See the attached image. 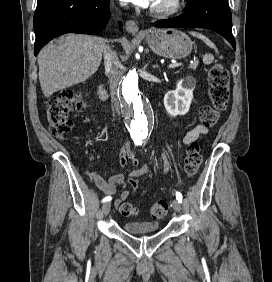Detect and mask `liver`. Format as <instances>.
<instances>
[{"label": "liver", "mask_w": 272, "mask_h": 282, "mask_svg": "<svg viewBox=\"0 0 272 282\" xmlns=\"http://www.w3.org/2000/svg\"><path fill=\"white\" fill-rule=\"evenodd\" d=\"M105 44L102 37L69 34L46 45L38 55L44 96L48 98L91 77L100 66Z\"/></svg>", "instance_id": "liver-1"}]
</instances>
